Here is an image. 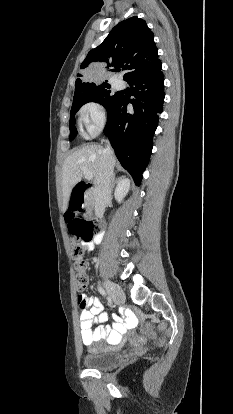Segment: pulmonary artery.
I'll return each instance as SVG.
<instances>
[{
    "label": "pulmonary artery",
    "mask_w": 233,
    "mask_h": 414,
    "mask_svg": "<svg viewBox=\"0 0 233 414\" xmlns=\"http://www.w3.org/2000/svg\"><path fill=\"white\" fill-rule=\"evenodd\" d=\"M116 87H117L118 89H122V88L124 87V84H123L121 81H117V82H116Z\"/></svg>",
    "instance_id": "obj_1"
}]
</instances>
